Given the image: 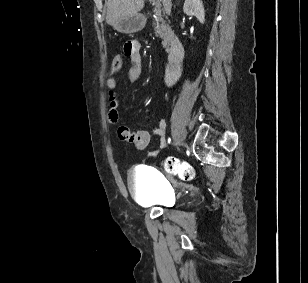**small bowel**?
Returning <instances> with one entry per match:
<instances>
[{
  "label": "small bowel",
  "mask_w": 308,
  "mask_h": 283,
  "mask_svg": "<svg viewBox=\"0 0 308 283\" xmlns=\"http://www.w3.org/2000/svg\"><path fill=\"white\" fill-rule=\"evenodd\" d=\"M124 53L130 57L132 66L129 69L128 77L131 82H136L142 75V55L141 45L137 40H130L124 44ZM179 77V70L173 71L171 68H166L164 75L165 85L168 87L173 86ZM117 86V80L115 77H109L106 80V87L108 88V123L110 125H117L119 123V101L115 88ZM118 136L121 140L130 143L138 150H144L150 143L152 136H157L159 139L158 148L163 149L166 146V122L164 119L158 121V123L150 130H132L127 126L119 125L117 128ZM157 151L151 153L155 156Z\"/></svg>",
  "instance_id": "small-bowel-1"
}]
</instances>
